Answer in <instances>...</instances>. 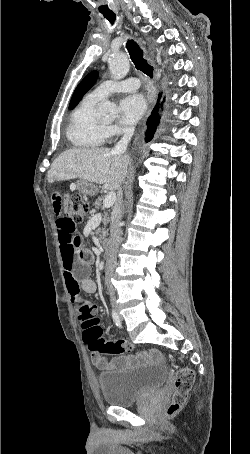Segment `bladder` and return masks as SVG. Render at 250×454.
<instances>
[{
    "instance_id": "bladder-1",
    "label": "bladder",
    "mask_w": 250,
    "mask_h": 454,
    "mask_svg": "<svg viewBox=\"0 0 250 454\" xmlns=\"http://www.w3.org/2000/svg\"><path fill=\"white\" fill-rule=\"evenodd\" d=\"M165 376L162 365L150 364L103 373L99 376L98 383L106 404L127 407L160 389Z\"/></svg>"
}]
</instances>
